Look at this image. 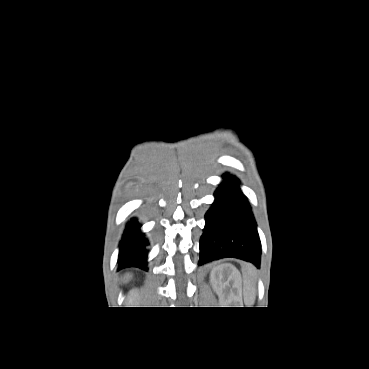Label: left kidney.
<instances>
[{"label":"left kidney","mask_w":369,"mask_h":369,"mask_svg":"<svg viewBox=\"0 0 369 369\" xmlns=\"http://www.w3.org/2000/svg\"><path fill=\"white\" fill-rule=\"evenodd\" d=\"M240 281L241 276L232 265L217 266L210 273V283L218 294H222L230 283H232V289L238 292Z\"/></svg>","instance_id":"5707ae66"}]
</instances>
